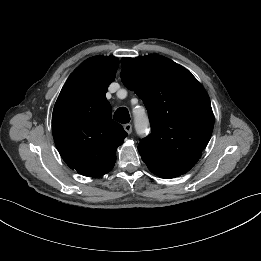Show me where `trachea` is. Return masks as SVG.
<instances>
[{
    "instance_id": "trachea-1",
    "label": "trachea",
    "mask_w": 261,
    "mask_h": 261,
    "mask_svg": "<svg viewBox=\"0 0 261 261\" xmlns=\"http://www.w3.org/2000/svg\"><path fill=\"white\" fill-rule=\"evenodd\" d=\"M113 119L122 124L128 123L130 121L128 109L125 107L118 108L114 113Z\"/></svg>"
}]
</instances>
